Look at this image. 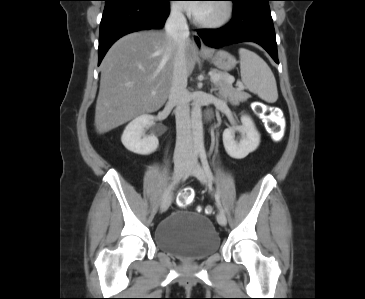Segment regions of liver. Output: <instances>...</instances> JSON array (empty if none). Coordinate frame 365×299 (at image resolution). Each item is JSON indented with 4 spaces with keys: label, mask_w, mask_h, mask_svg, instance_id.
Here are the masks:
<instances>
[{
    "label": "liver",
    "mask_w": 365,
    "mask_h": 299,
    "mask_svg": "<svg viewBox=\"0 0 365 299\" xmlns=\"http://www.w3.org/2000/svg\"><path fill=\"white\" fill-rule=\"evenodd\" d=\"M176 45L164 31H140L119 39L101 64L95 109L98 133L159 110L166 102L173 77ZM187 73L195 66L196 51L185 46ZM155 92V95H152Z\"/></svg>",
    "instance_id": "1"
}]
</instances>
